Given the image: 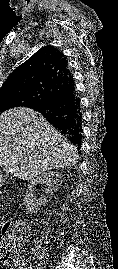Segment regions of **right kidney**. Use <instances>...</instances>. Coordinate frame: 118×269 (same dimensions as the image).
<instances>
[{"mask_svg":"<svg viewBox=\"0 0 118 269\" xmlns=\"http://www.w3.org/2000/svg\"><path fill=\"white\" fill-rule=\"evenodd\" d=\"M61 181V175L58 172H46L41 176H38L33 180L31 185L28 186L26 195L24 197V204L26 209L31 213H37L39 210V204L35 203V197L33 195V186L39 183L45 184L47 187L45 193L52 195L58 188Z\"/></svg>","mask_w":118,"mask_h":269,"instance_id":"1","label":"right kidney"}]
</instances>
